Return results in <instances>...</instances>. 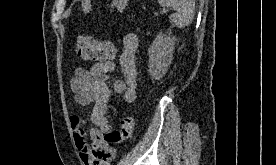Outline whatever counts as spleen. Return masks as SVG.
<instances>
[{"mask_svg": "<svg viewBox=\"0 0 276 165\" xmlns=\"http://www.w3.org/2000/svg\"><path fill=\"white\" fill-rule=\"evenodd\" d=\"M162 6H170L175 11L170 15L174 26L183 28L191 24L194 17L195 0H158Z\"/></svg>", "mask_w": 276, "mask_h": 165, "instance_id": "obj_1", "label": "spleen"}]
</instances>
